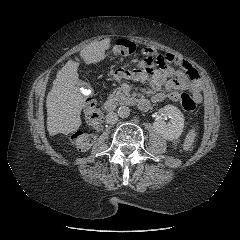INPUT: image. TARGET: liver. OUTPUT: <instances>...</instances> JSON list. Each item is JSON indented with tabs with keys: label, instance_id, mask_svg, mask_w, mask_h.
<instances>
[{
	"label": "liver",
	"instance_id": "liver-1",
	"mask_svg": "<svg viewBox=\"0 0 240 240\" xmlns=\"http://www.w3.org/2000/svg\"><path fill=\"white\" fill-rule=\"evenodd\" d=\"M110 42L109 38L94 42L82 49L79 55L87 65L98 63L105 57ZM81 83L78 63L67 61L57 73L46 99L47 130L50 136L58 133L67 135L81 126L80 115L85 105V97L79 90Z\"/></svg>",
	"mask_w": 240,
	"mask_h": 240
}]
</instances>
